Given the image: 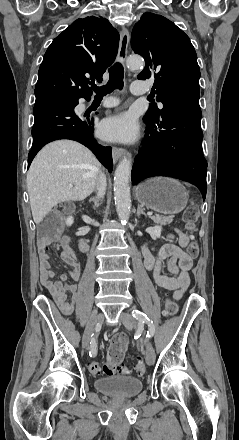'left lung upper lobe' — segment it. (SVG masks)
Returning a JSON list of instances; mask_svg holds the SVG:
<instances>
[{"label": "left lung upper lobe", "mask_w": 239, "mask_h": 440, "mask_svg": "<svg viewBox=\"0 0 239 440\" xmlns=\"http://www.w3.org/2000/svg\"><path fill=\"white\" fill-rule=\"evenodd\" d=\"M131 46L145 59V68L137 78L146 80L154 75V93L163 103L162 109L152 104L146 120L158 121L165 108L181 101L199 103L197 55L189 37L173 22L144 13L133 28Z\"/></svg>", "instance_id": "5c2ea615"}]
</instances>
